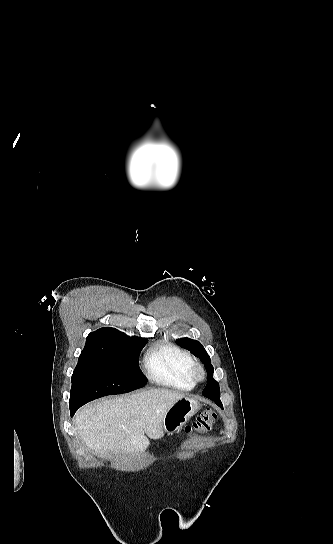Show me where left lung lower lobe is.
Returning <instances> with one entry per match:
<instances>
[{
  "instance_id": "obj_1",
  "label": "left lung lower lobe",
  "mask_w": 333,
  "mask_h": 544,
  "mask_svg": "<svg viewBox=\"0 0 333 544\" xmlns=\"http://www.w3.org/2000/svg\"><path fill=\"white\" fill-rule=\"evenodd\" d=\"M203 396H204V397H207V398H209V399H211V400L214 401L219 407L223 408V407H222L221 400H220V392H212V393H206V392H204Z\"/></svg>"
}]
</instances>
